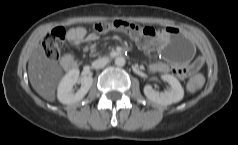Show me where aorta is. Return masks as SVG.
I'll use <instances>...</instances> for the list:
<instances>
[{
    "label": "aorta",
    "mask_w": 238,
    "mask_h": 145,
    "mask_svg": "<svg viewBox=\"0 0 238 145\" xmlns=\"http://www.w3.org/2000/svg\"><path fill=\"white\" fill-rule=\"evenodd\" d=\"M125 63H126L125 58L122 56H119L115 59V65L118 67H123Z\"/></svg>",
    "instance_id": "aorta-1"
}]
</instances>
